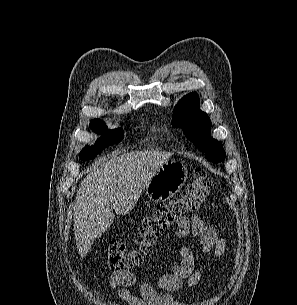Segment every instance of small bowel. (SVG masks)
I'll return each mask as SVG.
<instances>
[{"label":"small bowel","mask_w":297,"mask_h":305,"mask_svg":"<svg viewBox=\"0 0 297 305\" xmlns=\"http://www.w3.org/2000/svg\"><path fill=\"white\" fill-rule=\"evenodd\" d=\"M176 225L178 236L195 237L202 252L211 255L210 259L203 266L196 268L194 253L189 247H182L179 259L170 265L168 271L156 272L152 282L138 279L131 271L113 272L110 276L111 287L129 305H174L172 294L184 287L192 288L198 285L204 270L224 254L225 239L219 237L216 229L206 224L199 216L183 217ZM130 288H137L139 294L131 293ZM159 290H163V293Z\"/></svg>","instance_id":"obj_1"}]
</instances>
